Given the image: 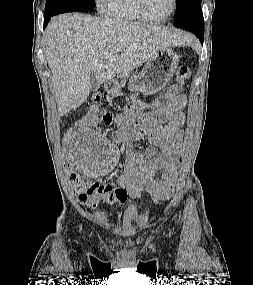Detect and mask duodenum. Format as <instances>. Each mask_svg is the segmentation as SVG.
I'll use <instances>...</instances> for the list:
<instances>
[{
	"label": "duodenum",
	"mask_w": 253,
	"mask_h": 285,
	"mask_svg": "<svg viewBox=\"0 0 253 285\" xmlns=\"http://www.w3.org/2000/svg\"><path fill=\"white\" fill-rule=\"evenodd\" d=\"M105 88H106L108 91L112 92V91L115 90V85H114L113 82L107 81V82L105 83Z\"/></svg>",
	"instance_id": "1"
}]
</instances>
